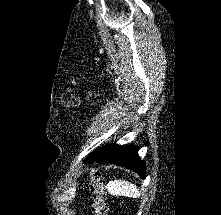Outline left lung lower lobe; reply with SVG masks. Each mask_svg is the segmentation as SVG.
I'll use <instances>...</instances> for the list:
<instances>
[{
    "mask_svg": "<svg viewBox=\"0 0 221 215\" xmlns=\"http://www.w3.org/2000/svg\"><path fill=\"white\" fill-rule=\"evenodd\" d=\"M94 161L97 163H105L107 161L133 170L142 178L146 176L144 162L139 158L138 150L134 145H108L105 153Z\"/></svg>",
    "mask_w": 221,
    "mask_h": 215,
    "instance_id": "obj_1",
    "label": "left lung lower lobe"
}]
</instances>
